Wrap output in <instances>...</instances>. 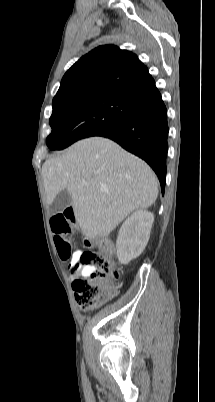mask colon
<instances>
[{"instance_id":"colon-1","label":"colon","mask_w":215,"mask_h":402,"mask_svg":"<svg viewBox=\"0 0 215 402\" xmlns=\"http://www.w3.org/2000/svg\"><path fill=\"white\" fill-rule=\"evenodd\" d=\"M73 222L74 213L70 209L51 218L54 242L59 256L64 260L72 255V244L69 238L72 234ZM95 244L100 251H84L75 262V267H94L88 277L77 279L73 283L77 301L88 310L100 306L113 295L112 281L120 277L119 271L108 255L112 250L111 241L100 238L95 241Z\"/></svg>"}]
</instances>
